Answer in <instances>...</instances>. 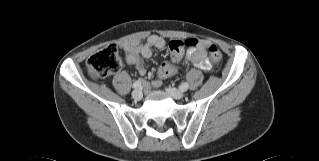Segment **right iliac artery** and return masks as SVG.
Wrapping results in <instances>:
<instances>
[{"label": "right iliac artery", "mask_w": 319, "mask_h": 161, "mask_svg": "<svg viewBox=\"0 0 319 161\" xmlns=\"http://www.w3.org/2000/svg\"><path fill=\"white\" fill-rule=\"evenodd\" d=\"M140 86H141V81L140 80H138V81L133 83V88H135V89L139 88Z\"/></svg>", "instance_id": "82829eb1"}]
</instances>
